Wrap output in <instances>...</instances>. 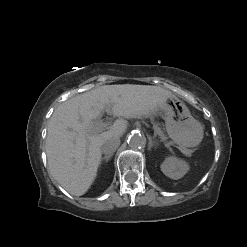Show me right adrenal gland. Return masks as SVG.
Segmentation results:
<instances>
[{
    "label": "right adrenal gland",
    "instance_id": "obj_1",
    "mask_svg": "<svg viewBox=\"0 0 247 247\" xmlns=\"http://www.w3.org/2000/svg\"><path fill=\"white\" fill-rule=\"evenodd\" d=\"M113 155H106V156H104L102 159H101V161H106V162H108L110 159H111V157H112Z\"/></svg>",
    "mask_w": 247,
    "mask_h": 247
}]
</instances>
